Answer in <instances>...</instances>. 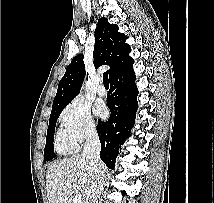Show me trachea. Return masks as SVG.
Returning a JSON list of instances; mask_svg holds the SVG:
<instances>
[{
	"label": "trachea",
	"mask_w": 214,
	"mask_h": 203,
	"mask_svg": "<svg viewBox=\"0 0 214 203\" xmlns=\"http://www.w3.org/2000/svg\"><path fill=\"white\" fill-rule=\"evenodd\" d=\"M103 83H104V86H109L108 73L106 72L103 74Z\"/></svg>",
	"instance_id": "obj_1"
}]
</instances>
